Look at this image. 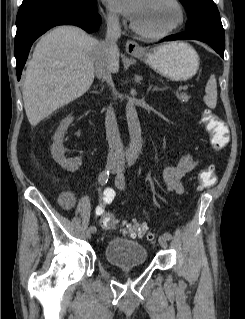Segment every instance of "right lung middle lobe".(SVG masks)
Instances as JSON below:
<instances>
[{"label": "right lung middle lobe", "instance_id": "obj_1", "mask_svg": "<svg viewBox=\"0 0 245 319\" xmlns=\"http://www.w3.org/2000/svg\"><path fill=\"white\" fill-rule=\"evenodd\" d=\"M90 1L92 0H23L20 9H27L58 2L74 5H88Z\"/></svg>", "mask_w": 245, "mask_h": 319}]
</instances>
